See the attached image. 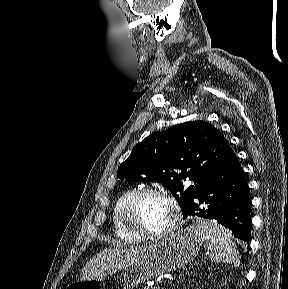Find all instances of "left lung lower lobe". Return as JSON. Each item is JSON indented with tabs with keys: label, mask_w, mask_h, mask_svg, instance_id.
<instances>
[{
	"label": "left lung lower lobe",
	"mask_w": 288,
	"mask_h": 289,
	"mask_svg": "<svg viewBox=\"0 0 288 289\" xmlns=\"http://www.w3.org/2000/svg\"><path fill=\"white\" fill-rule=\"evenodd\" d=\"M250 206L249 188L242 167L229 147L223 161L209 175L182 214L183 218L198 216L214 219L235 237L248 241Z\"/></svg>",
	"instance_id": "obj_1"
}]
</instances>
